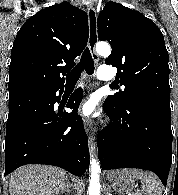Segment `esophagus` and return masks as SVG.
Returning <instances> with one entry per match:
<instances>
[{
  "label": "esophagus",
  "mask_w": 178,
  "mask_h": 195,
  "mask_svg": "<svg viewBox=\"0 0 178 195\" xmlns=\"http://www.w3.org/2000/svg\"><path fill=\"white\" fill-rule=\"evenodd\" d=\"M88 14V24H89V49L91 55L96 63L99 62V57L95 51L96 44L98 42V33H97V14L95 7L89 5L87 8ZM84 127L87 133L92 131L93 122L89 118H84Z\"/></svg>",
  "instance_id": "obj_1"
}]
</instances>
